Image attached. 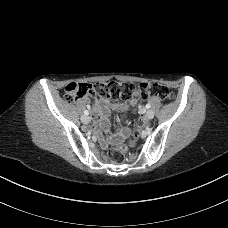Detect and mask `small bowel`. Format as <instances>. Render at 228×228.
<instances>
[{"instance_id": "1", "label": "small bowel", "mask_w": 228, "mask_h": 228, "mask_svg": "<svg viewBox=\"0 0 228 228\" xmlns=\"http://www.w3.org/2000/svg\"><path fill=\"white\" fill-rule=\"evenodd\" d=\"M136 104V99L131 100L129 104L113 103L109 98H104L97 102V108L99 110L100 115V127L101 130L105 133V137L101 138V143L104 147H106L109 144V142H117L125 139L129 134V130L127 128H120L114 135H110L109 114L111 110L117 109L122 113H125L130 106L135 107ZM140 110L142 111L143 108L140 107ZM122 120L123 117H121V121ZM93 131L96 134L100 135V132L96 129L95 126H93Z\"/></svg>"}]
</instances>
